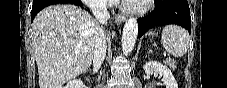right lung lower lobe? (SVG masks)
Segmentation results:
<instances>
[{
  "label": "right lung lower lobe",
  "mask_w": 227,
  "mask_h": 88,
  "mask_svg": "<svg viewBox=\"0 0 227 88\" xmlns=\"http://www.w3.org/2000/svg\"><path fill=\"white\" fill-rule=\"evenodd\" d=\"M57 3H71L75 5H81V3H72L69 0H33L31 20L33 21L36 14L44 7L51 4H57Z\"/></svg>",
  "instance_id": "right-lung-lower-lobe-1"
}]
</instances>
